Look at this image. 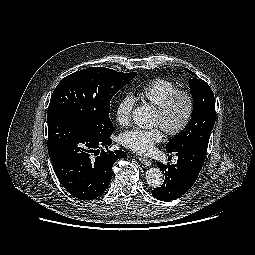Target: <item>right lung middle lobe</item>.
<instances>
[{
  "instance_id": "dd1d6c3e",
  "label": "right lung middle lobe",
  "mask_w": 255,
  "mask_h": 255,
  "mask_svg": "<svg viewBox=\"0 0 255 255\" xmlns=\"http://www.w3.org/2000/svg\"><path fill=\"white\" fill-rule=\"evenodd\" d=\"M136 74L90 67L66 76L52 93L48 123L66 118L96 136L111 135L110 101Z\"/></svg>"
}]
</instances>
